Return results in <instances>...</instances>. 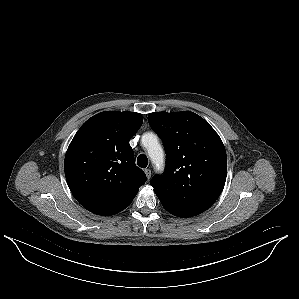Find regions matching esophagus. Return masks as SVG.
I'll return each mask as SVG.
<instances>
[{"label": "esophagus", "mask_w": 299, "mask_h": 299, "mask_svg": "<svg viewBox=\"0 0 299 299\" xmlns=\"http://www.w3.org/2000/svg\"><path fill=\"white\" fill-rule=\"evenodd\" d=\"M144 172L147 176V179L149 180L151 178V170L150 169H145Z\"/></svg>", "instance_id": "obj_1"}]
</instances>
